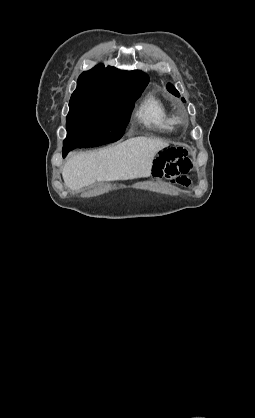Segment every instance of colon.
I'll use <instances>...</instances> for the list:
<instances>
[{
    "instance_id": "obj_1",
    "label": "colon",
    "mask_w": 255,
    "mask_h": 418,
    "mask_svg": "<svg viewBox=\"0 0 255 418\" xmlns=\"http://www.w3.org/2000/svg\"><path fill=\"white\" fill-rule=\"evenodd\" d=\"M192 169L187 149L170 147L163 150L153 163L152 174L155 178H167L173 182L188 186L187 174Z\"/></svg>"
}]
</instances>
